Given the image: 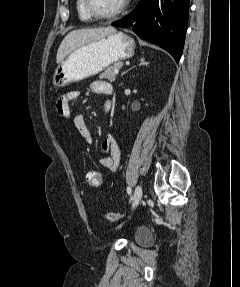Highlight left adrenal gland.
<instances>
[{
	"label": "left adrenal gland",
	"instance_id": "1",
	"mask_svg": "<svg viewBox=\"0 0 240 287\" xmlns=\"http://www.w3.org/2000/svg\"><path fill=\"white\" fill-rule=\"evenodd\" d=\"M139 65H148V62L145 61V58H141L139 60ZM135 66L131 67L130 69H128L127 71L123 72L122 75H124L125 73H127L129 70L133 69Z\"/></svg>",
	"mask_w": 240,
	"mask_h": 287
}]
</instances>
